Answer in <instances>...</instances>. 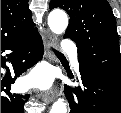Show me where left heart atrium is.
<instances>
[{"instance_id":"1","label":"left heart atrium","mask_w":121,"mask_h":113,"mask_svg":"<svg viewBox=\"0 0 121 113\" xmlns=\"http://www.w3.org/2000/svg\"><path fill=\"white\" fill-rule=\"evenodd\" d=\"M52 79L51 73L46 70V69H40L38 70L34 77H33V82H38L44 86L48 85Z\"/></svg>"}]
</instances>
